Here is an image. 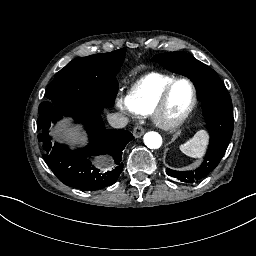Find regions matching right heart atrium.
Listing matches in <instances>:
<instances>
[{"mask_svg": "<svg viewBox=\"0 0 256 256\" xmlns=\"http://www.w3.org/2000/svg\"><path fill=\"white\" fill-rule=\"evenodd\" d=\"M131 98H132V95L130 94L124 95V96L121 95L122 102H121L120 112L133 113L131 108Z\"/></svg>", "mask_w": 256, "mask_h": 256, "instance_id": "1", "label": "right heart atrium"}]
</instances>
